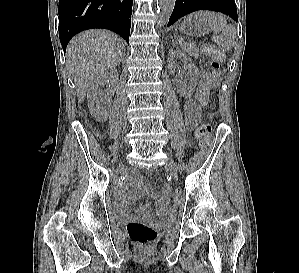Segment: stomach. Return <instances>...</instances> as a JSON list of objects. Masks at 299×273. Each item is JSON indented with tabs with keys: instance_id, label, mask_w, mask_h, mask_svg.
<instances>
[{
	"instance_id": "stomach-1",
	"label": "stomach",
	"mask_w": 299,
	"mask_h": 273,
	"mask_svg": "<svg viewBox=\"0 0 299 273\" xmlns=\"http://www.w3.org/2000/svg\"><path fill=\"white\" fill-rule=\"evenodd\" d=\"M179 30L189 36L199 37L212 31L210 27L202 21L196 14L191 15L190 19L185 18L179 25Z\"/></svg>"
}]
</instances>
